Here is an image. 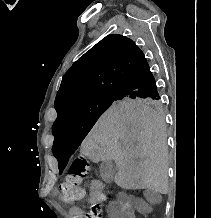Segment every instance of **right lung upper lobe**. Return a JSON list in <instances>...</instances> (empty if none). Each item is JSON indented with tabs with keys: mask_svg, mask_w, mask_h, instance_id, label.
I'll return each mask as SVG.
<instances>
[{
	"mask_svg": "<svg viewBox=\"0 0 211 218\" xmlns=\"http://www.w3.org/2000/svg\"><path fill=\"white\" fill-rule=\"evenodd\" d=\"M145 62L143 52L132 40L115 34L103 38L63 76L54 103L57 117L91 98L117 94Z\"/></svg>",
	"mask_w": 211,
	"mask_h": 218,
	"instance_id": "right-lung-upper-lobe-1",
	"label": "right lung upper lobe"
}]
</instances>
